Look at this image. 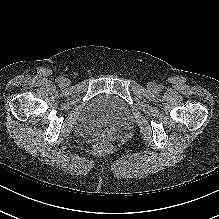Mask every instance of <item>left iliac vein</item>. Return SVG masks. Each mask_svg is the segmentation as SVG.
<instances>
[{
	"mask_svg": "<svg viewBox=\"0 0 219 219\" xmlns=\"http://www.w3.org/2000/svg\"><path fill=\"white\" fill-rule=\"evenodd\" d=\"M148 88H149L150 90H156V89H157V86H156L155 83L150 82V83H148Z\"/></svg>",
	"mask_w": 219,
	"mask_h": 219,
	"instance_id": "obj_1",
	"label": "left iliac vein"
}]
</instances>
